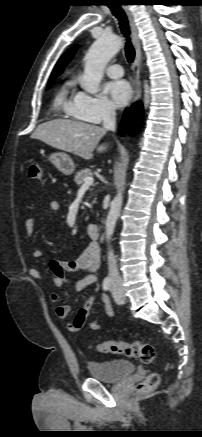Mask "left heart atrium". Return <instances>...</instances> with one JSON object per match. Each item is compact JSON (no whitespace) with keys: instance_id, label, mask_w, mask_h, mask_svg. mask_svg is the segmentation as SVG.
<instances>
[{"instance_id":"1","label":"left heart atrium","mask_w":202,"mask_h":437,"mask_svg":"<svg viewBox=\"0 0 202 437\" xmlns=\"http://www.w3.org/2000/svg\"><path fill=\"white\" fill-rule=\"evenodd\" d=\"M106 91L119 107L126 105L132 97L131 86L125 80L109 82L106 85Z\"/></svg>"}]
</instances>
